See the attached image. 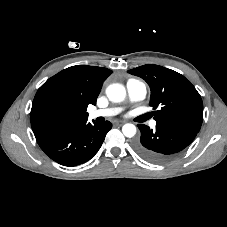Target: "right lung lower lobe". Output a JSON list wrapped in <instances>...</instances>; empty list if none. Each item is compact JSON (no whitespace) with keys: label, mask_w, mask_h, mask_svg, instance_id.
Instances as JSON below:
<instances>
[{"label":"right lung lower lobe","mask_w":227,"mask_h":227,"mask_svg":"<svg viewBox=\"0 0 227 227\" xmlns=\"http://www.w3.org/2000/svg\"><path fill=\"white\" fill-rule=\"evenodd\" d=\"M112 124L87 120L66 123L35 134L40 148L55 162L76 166L90 160L101 147Z\"/></svg>","instance_id":"98d812e1"}]
</instances>
